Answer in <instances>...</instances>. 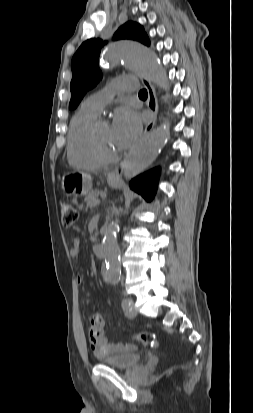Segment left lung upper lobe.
<instances>
[{"instance_id":"obj_1","label":"left lung upper lobe","mask_w":253,"mask_h":413,"mask_svg":"<svg viewBox=\"0 0 253 413\" xmlns=\"http://www.w3.org/2000/svg\"><path fill=\"white\" fill-rule=\"evenodd\" d=\"M117 39H131L147 46L150 45L144 28L134 22H127L121 26L114 34V40ZM103 45L104 43L100 39H89L74 54L71 62L73 77L70 84V109H75L86 92L96 86L102 78L98 61Z\"/></svg>"}]
</instances>
